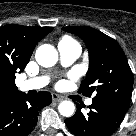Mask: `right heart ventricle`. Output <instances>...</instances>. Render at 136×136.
Returning <instances> with one entry per match:
<instances>
[{
  "label": "right heart ventricle",
  "mask_w": 136,
  "mask_h": 136,
  "mask_svg": "<svg viewBox=\"0 0 136 136\" xmlns=\"http://www.w3.org/2000/svg\"><path fill=\"white\" fill-rule=\"evenodd\" d=\"M61 41H72V40L70 38H68V37H65Z\"/></svg>",
  "instance_id": "e07e8e85"
}]
</instances>
